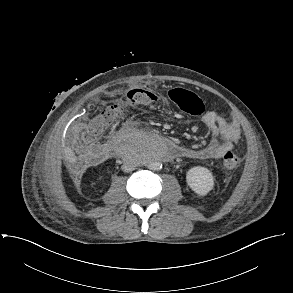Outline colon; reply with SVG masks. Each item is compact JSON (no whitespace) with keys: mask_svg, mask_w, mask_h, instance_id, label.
Here are the masks:
<instances>
[{"mask_svg":"<svg viewBox=\"0 0 293 293\" xmlns=\"http://www.w3.org/2000/svg\"><path fill=\"white\" fill-rule=\"evenodd\" d=\"M172 98L182 110L188 113H194L198 102L196 94L189 90L178 88L173 91ZM151 102L152 94L150 91L140 87L130 89L123 100L107 106L89 121L87 127L82 132V141L86 144L95 142L107 129L114 125L128 108L145 106ZM238 165V156L230 150L225 151L222 156L223 168L232 171Z\"/></svg>","mask_w":293,"mask_h":293,"instance_id":"colon-1","label":"colon"}]
</instances>
